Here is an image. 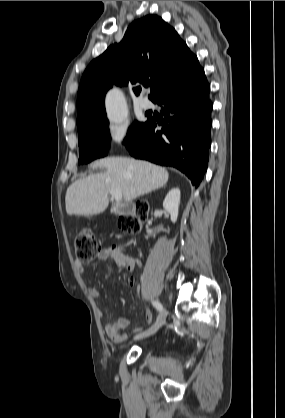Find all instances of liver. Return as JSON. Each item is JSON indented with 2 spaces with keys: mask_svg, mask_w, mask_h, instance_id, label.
<instances>
[{
  "mask_svg": "<svg viewBox=\"0 0 285 418\" xmlns=\"http://www.w3.org/2000/svg\"><path fill=\"white\" fill-rule=\"evenodd\" d=\"M90 168H104L73 182L66 191L65 205L68 215H97L106 210L109 194L122 193L125 202L163 187L169 178L165 168L129 157L114 156L96 160Z\"/></svg>",
  "mask_w": 285,
  "mask_h": 418,
  "instance_id": "obj_1",
  "label": "liver"
}]
</instances>
